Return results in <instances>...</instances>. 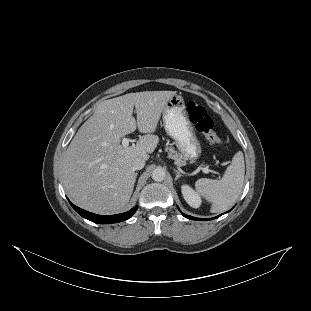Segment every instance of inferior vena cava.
I'll return each instance as SVG.
<instances>
[{
  "label": "inferior vena cava",
  "mask_w": 311,
  "mask_h": 311,
  "mask_svg": "<svg viewBox=\"0 0 311 311\" xmlns=\"http://www.w3.org/2000/svg\"><path fill=\"white\" fill-rule=\"evenodd\" d=\"M132 166L134 170H141L144 168L145 166V160H143L142 158H135L132 162Z\"/></svg>",
  "instance_id": "602c4592"
}]
</instances>
